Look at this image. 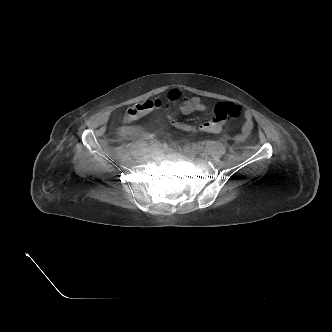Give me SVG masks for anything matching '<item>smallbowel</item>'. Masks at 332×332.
<instances>
[{
	"instance_id": "small-bowel-1",
	"label": "small bowel",
	"mask_w": 332,
	"mask_h": 332,
	"mask_svg": "<svg viewBox=\"0 0 332 332\" xmlns=\"http://www.w3.org/2000/svg\"><path fill=\"white\" fill-rule=\"evenodd\" d=\"M169 97L172 99L180 98V92L174 90L169 94ZM180 102V111L184 115H190L193 112H205L207 110V106L198 96L183 97L180 99ZM244 118L245 120L241 128L240 139L246 138L253 129L250 113L246 112Z\"/></svg>"
}]
</instances>
